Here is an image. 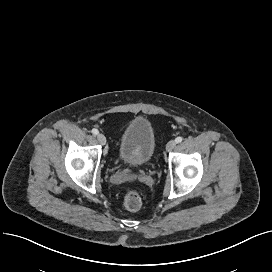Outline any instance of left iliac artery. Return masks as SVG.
<instances>
[{
	"label": "left iliac artery",
	"instance_id": "1",
	"mask_svg": "<svg viewBox=\"0 0 272 272\" xmlns=\"http://www.w3.org/2000/svg\"><path fill=\"white\" fill-rule=\"evenodd\" d=\"M182 140H183V138L180 136L175 139L176 143H180V142H182Z\"/></svg>",
	"mask_w": 272,
	"mask_h": 272
}]
</instances>
